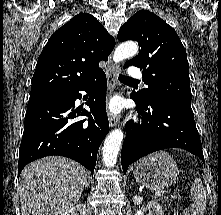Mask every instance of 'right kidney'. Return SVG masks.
<instances>
[{
    "instance_id": "right-kidney-1",
    "label": "right kidney",
    "mask_w": 221,
    "mask_h": 215,
    "mask_svg": "<svg viewBox=\"0 0 221 215\" xmlns=\"http://www.w3.org/2000/svg\"><path fill=\"white\" fill-rule=\"evenodd\" d=\"M86 206L84 204H78L71 209L64 212L62 215H85Z\"/></svg>"
}]
</instances>
